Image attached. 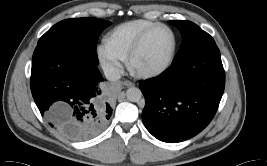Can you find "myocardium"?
I'll list each match as a JSON object with an SVG mask.
<instances>
[{
  "mask_svg": "<svg viewBox=\"0 0 267 166\" xmlns=\"http://www.w3.org/2000/svg\"><path fill=\"white\" fill-rule=\"evenodd\" d=\"M159 28H165V29L169 30L171 35H172L173 44H172V49H171V53H170L169 58L167 59V61L163 65H161L158 68L150 69V70L137 69L135 64H134V59H135L136 55L141 50V48L144 45L148 36ZM176 49H177V37H176L174 30L169 25H166L164 23H157L154 26H152L151 28H149L147 31H145L138 38V40L135 42V44L132 46V48L130 49V51L126 57L127 67L132 73L138 75L139 77H142V78L155 77V76L163 73L164 71H166L170 67V65L172 64V62L174 60Z\"/></svg>",
  "mask_w": 267,
  "mask_h": 166,
  "instance_id": "obj_1",
  "label": "myocardium"
}]
</instances>
